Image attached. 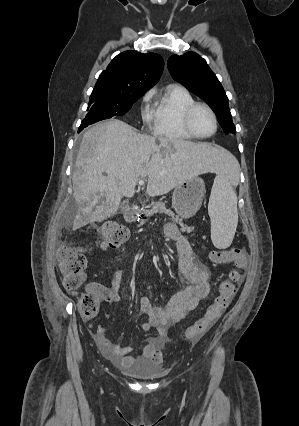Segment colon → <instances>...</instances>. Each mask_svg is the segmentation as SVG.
Listing matches in <instances>:
<instances>
[{
  "instance_id": "1",
  "label": "colon",
  "mask_w": 299,
  "mask_h": 426,
  "mask_svg": "<svg viewBox=\"0 0 299 426\" xmlns=\"http://www.w3.org/2000/svg\"><path fill=\"white\" fill-rule=\"evenodd\" d=\"M98 231L100 246L104 249L117 248L128 236L127 229L115 222L105 223ZM209 258L219 265L233 263L236 268L220 282L217 295L205 314L182 333V339L188 342L196 341L209 331L232 302L244 278L247 265V253L244 249L212 250ZM57 261L64 288L72 294H78L85 281V250L64 244L57 251ZM100 302L101 296L89 288L88 292L79 298V310L85 318H93L99 311Z\"/></svg>"
}]
</instances>
